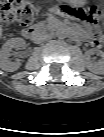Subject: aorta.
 Returning <instances> with one entry per match:
<instances>
[{
    "label": "aorta",
    "instance_id": "aorta-1",
    "mask_svg": "<svg viewBox=\"0 0 104 137\" xmlns=\"http://www.w3.org/2000/svg\"><path fill=\"white\" fill-rule=\"evenodd\" d=\"M57 35L60 39H65L69 36V31L65 28H61L57 31Z\"/></svg>",
    "mask_w": 104,
    "mask_h": 137
}]
</instances>
